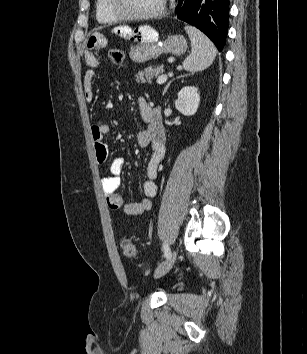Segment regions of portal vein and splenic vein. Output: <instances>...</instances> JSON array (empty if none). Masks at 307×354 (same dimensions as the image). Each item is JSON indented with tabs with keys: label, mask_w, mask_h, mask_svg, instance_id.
<instances>
[{
	"label": "portal vein and splenic vein",
	"mask_w": 307,
	"mask_h": 354,
	"mask_svg": "<svg viewBox=\"0 0 307 354\" xmlns=\"http://www.w3.org/2000/svg\"><path fill=\"white\" fill-rule=\"evenodd\" d=\"M167 75L166 74H162V75H160L159 77H158V79H157V83L158 84H162V83H164V82H166L167 81Z\"/></svg>",
	"instance_id": "18ae733b"
}]
</instances>
